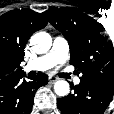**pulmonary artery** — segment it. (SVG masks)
<instances>
[{
	"instance_id": "e3ab8cb5",
	"label": "pulmonary artery",
	"mask_w": 114,
	"mask_h": 114,
	"mask_svg": "<svg viewBox=\"0 0 114 114\" xmlns=\"http://www.w3.org/2000/svg\"><path fill=\"white\" fill-rule=\"evenodd\" d=\"M69 54V45L67 41L62 37H56L53 42L51 50L34 60L29 61L25 65L26 71L36 70L44 71L52 68L55 65L62 64L66 61ZM75 84L80 83V78L74 79Z\"/></svg>"
}]
</instances>
